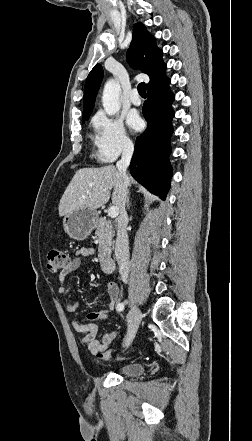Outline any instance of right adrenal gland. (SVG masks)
<instances>
[{"instance_id":"2a0ac1e0","label":"right adrenal gland","mask_w":252,"mask_h":441,"mask_svg":"<svg viewBox=\"0 0 252 441\" xmlns=\"http://www.w3.org/2000/svg\"><path fill=\"white\" fill-rule=\"evenodd\" d=\"M127 208L130 209L129 197L127 198Z\"/></svg>"}]
</instances>
